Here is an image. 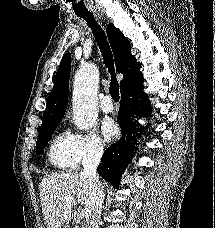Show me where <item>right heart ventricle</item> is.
Returning <instances> with one entry per match:
<instances>
[{
	"label": "right heart ventricle",
	"instance_id": "obj_1",
	"mask_svg": "<svg viewBox=\"0 0 215 228\" xmlns=\"http://www.w3.org/2000/svg\"><path fill=\"white\" fill-rule=\"evenodd\" d=\"M48 159L59 171L75 170L78 165L75 136L66 132L59 133L49 146Z\"/></svg>",
	"mask_w": 215,
	"mask_h": 228
}]
</instances>
